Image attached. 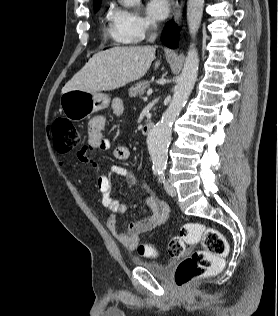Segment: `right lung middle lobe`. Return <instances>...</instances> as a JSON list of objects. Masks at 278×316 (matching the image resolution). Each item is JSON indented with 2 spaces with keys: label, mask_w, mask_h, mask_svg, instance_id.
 Wrapping results in <instances>:
<instances>
[{
  "label": "right lung middle lobe",
  "mask_w": 278,
  "mask_h": 316,
  "mask_svg": "<svg viewBox=\"0 0 278 316\" xmlns=\"http://www.w3.org/2000/svg\"><path fill=\"white\" fill-rule=\"evenodd\" d=\"M101 1L94 4V10L97 11L100 9Z\"/></svg>",
  "instance_id": "obj_1"
}]
</instances>
